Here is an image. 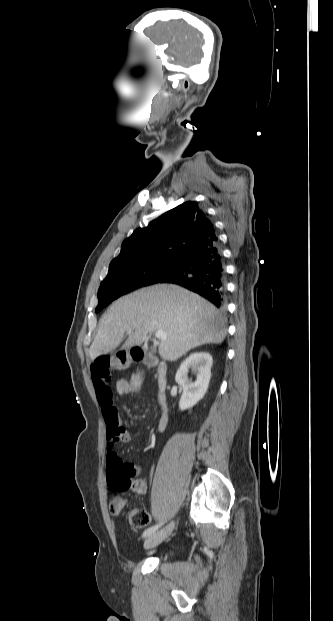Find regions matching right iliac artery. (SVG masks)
I'll return each mask as SVG.
<instances>
[{
  "label": "right iliac artery",
  "mask_w": 333,
  "mask_h": 621,
  "mask_svg": "<svg viewBox=\"0 0 333 621\" xmlns=\"http://www.w3.org/2000/svg\"><path fill=\"white\" fill-rule=\"evenodd\" d=\"M163 523H159L156 524L152 527H149L148 529H146L143 533V537L146 538L148 536H150L152 533H154Z\"/></svg>",
  "instance_id": "1"
}]
</instances>
